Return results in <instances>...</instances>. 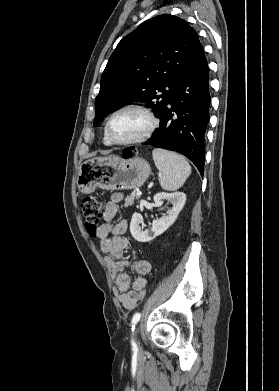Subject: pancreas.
<instances>
[{"instance_id":"obj_1","label":"pancreas","mask_w":279,"mask_h":391,"mask_svg":"<svg viewBox=\"0 0 279 391\" xmlns=\"http://www.w3.org/2000/svg\"><path fill=\"white\" fill-rule=\"evenodd\" d=\"M140 196L137 195L135 192L131 193L130 195H128L125 199V206H131L133 205L134 203V200H137L139 199Z\"/></svg>"}]
</instances>
